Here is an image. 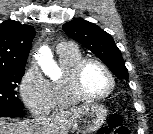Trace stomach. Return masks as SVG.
<instances>
[{"instance_id": "obj_1", "label": "stomach", "mask_w": 153, "mask_h": 134, "mask_svg": "<svg viewBox=\"0 0 153 134\" xmlns=\"http://www.w3.org/2000/svg\"><path fill=\"white\" fill-rule=\"evenodd\" d=\"M106 116L107 110L103 105L86 106L73 121L72 129L76 134H91L102 126Z\"/></svg>"}]
</instances>
